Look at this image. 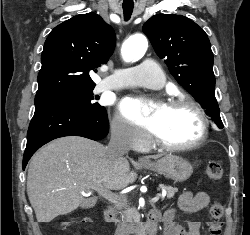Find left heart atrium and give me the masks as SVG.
Returning a JSON list of instances; mask_svg holds the SVG:
<instances>
[{
    "label": "left heart atrium",
    "instance_id": "left-heart-atrium-1",
    "mask_svg": "<svg viewBox=\"0 0 250 235\" xmlns=\"http://www.w3.org/2000/svg\"><path fill=\"white\" fill-rule=\"evenodd\" d=\"M142 105V102L139 100L125 99L121 103V110L124 115L132 121L141 124L149 129H152L154 126V118L153 116H143Z\"/></svg>",
    "mask_w": 250,
    "mask_h": 235
}]
</instances>
